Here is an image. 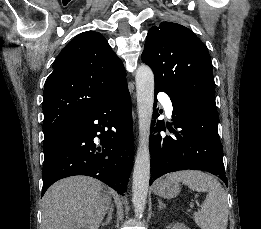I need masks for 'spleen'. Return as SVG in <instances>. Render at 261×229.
<instances>
[{
	"mask_svg": "<svg viewBox=\"0 0 261 229\" xmlns=\"http://www.w3.org/2000/svg\"><path fill=\"white\" fill-rule=\"evenodd\" d=\"M167 179L187 185L192 191L208 193L200 211L194 213V221L200 229H227L228 203L219 181L202 171H178L168 173Z\"/></svg>",
	"mask_w": 261,
	"mask_h": 229,
	"instance_id": "obj_1",
	"label": "spleen"
}]
</instances>
